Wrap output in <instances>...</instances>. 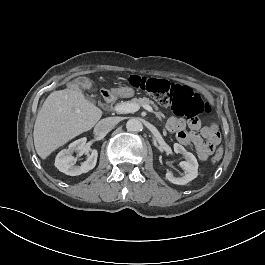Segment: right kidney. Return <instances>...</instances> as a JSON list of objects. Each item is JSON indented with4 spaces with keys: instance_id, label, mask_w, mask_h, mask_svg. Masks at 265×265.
<instances>
[{
    "instance_id": "right-kidney-1",
    "label": "right kidney",
    "mask_w": 265,
    "mask_h": 265,
    "mask_svg": "<svg viewBox=\"0 0 265 265\" xmlns=\"http://www.w3.org/2000/svg\"><path fill=\"white\" fill-rule=\"evenodd\" d=\"M72 152L85 153L87 159L81 164V166L74 165L75 157L72 156ZM90 152V154H88ZM98 158V150L94 148H88L86 146V138H81L71 143L69 149L61 151L55 160V166L57 169L67 175L77 176L83 173H88L95 168Z\"/></svg>"
}]
</instances>
